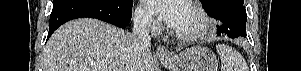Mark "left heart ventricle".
Wrapping results in <instances>:
<instances>
[{
	"label": "left heart ventricle",
	"instance_id": "b2bd125f",
	"mask_svg": "<svg viewBox=\"0 0 301 71\" xmlns=\"http://www.w3.org/2000/svg\"><path fill=\"white\" fill-rule=\"evenodd\" d=\"M198 18L191 11L190 8L184 5L183 11L181 13V18L177 24L175 30L178 31H192L198 26Z\"/></svg>",
	"mask_w": 301,
	"mask_h": 71
}]
</instances>
